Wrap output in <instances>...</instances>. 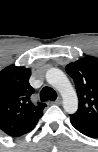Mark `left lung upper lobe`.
<instances>
[{"label":"left lung upper lobe","mask_w":98,"mask_h":152,"mask_svg":"<svg viewBox=\"0 0 98 152\" xmlns=\"http://www.w3.org/2000/svg\"><path fill=\"white\" fill-rule=\"evenodd\" d=\"M73 78L79 107L70 119L98 127V58L87 56L66 66Z\"/></svg>","instance_id":"5c2ea615"}]
</instances>
